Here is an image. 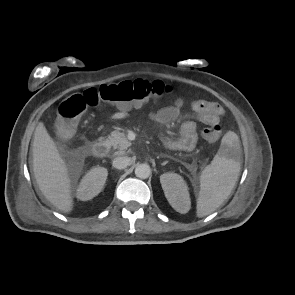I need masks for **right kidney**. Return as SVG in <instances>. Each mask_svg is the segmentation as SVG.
<instances>
[{"mask_svg": "<svg viewBox=\"0 0 295 295\" xmlns=\"http://www.w3.org/2000/svg\"><path fill=\"white\" fill-rule=\"evenodd\" d=\"M108 171L104 167H94L82 178L76 195L82 201H87L98 195L107 179Z\"/></svg>", "mask_w": 295, "mask_h": 295, "instance_id": "obj_1", "label": "right kidney"}]
</instances>
